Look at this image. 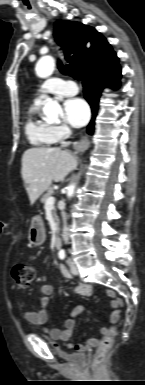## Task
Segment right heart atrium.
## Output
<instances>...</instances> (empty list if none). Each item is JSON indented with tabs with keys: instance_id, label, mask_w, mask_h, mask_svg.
<instances>
[{
	"instance_id": "right-heart-atrium-1",
	"label": "right heart atrium",
	"mask_w": 145,
	"mask_h": 385,
	"mask_svg": "<svg viewBox=\"0 0 145 385\" xmlns=\"http://www.w3.org/2000/svg\"><path fill=\"white\" fill-rule=\"evenodd\" d=\"M53 132L56 137V140L63 139L69 132V129L66 125H55L53 126Z\"/></svg>"
}]
</instances>
